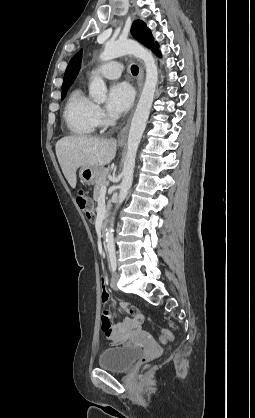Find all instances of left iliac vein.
<instances>
[{
  "mask_svg": "<svg viewBox=\"0 0 255 418\" xmlns=\"http://www.w3.org/2000/svg\"><path fill=\"white\" fill-rule=\"evenodd\" d=\"M120 275L118 272L114 273L112 280H111V285L113 287V289L117 290V281L119 279Z\"/></svg>",
  "mask_w": 255,
  "mask_h": 418,
  "instance_id": "obj_1",
  "label": "left iliac vein"
}]
</instances>
